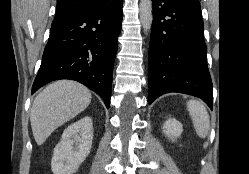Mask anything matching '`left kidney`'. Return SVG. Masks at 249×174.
Masks as SVG:
<instances>
[{
  "mask_svg": "<svg viewBox=\"0 0 249 174\" xmlns=\"http://www.w3.org/2000/svg\"><path fill=\"white\" fill-rule=\"evenodd\" d=\"M182 131H183L182 124L174 118H169L163 124V133L166 135V137H168L172 141H174L177 137H179Z\"/></svg>",
  "mask_w": 249,
  "mask_h": 174,
  "instance_id": "1",
  "label": "left kidney"
}]
</instances>
